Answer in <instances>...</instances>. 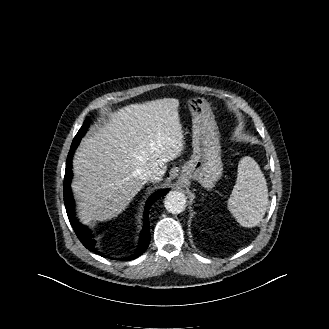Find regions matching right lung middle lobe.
I'll use <instances>...</instances> for the list:
<instances>
[{
  "label": "right lung middle lobe",
  "mask_w": 329,
  "mask_h": 329,
  "mask_svg": "<svg viewBox=\"0 0 329 329\" xmlns=\"http://www.w3.org/2000/svg\"><path fill=\"white\" fill-rule=\"evenodd\" d=\"M88 126H89V119L86 118L85 121H84V124L82 125V127L80 128V130L78 131V133L76 134V136L74 137V140L72 142V145H71L70 150H72V149H74L75 147L78 146V143H79L80 139L82 138V136L87 131Z\"/></svg>",
  "instance_id": "dd1d6c3e"
}]
</instances>
